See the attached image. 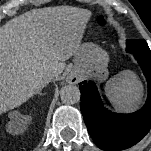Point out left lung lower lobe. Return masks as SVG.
<instances>
[{
    "mask_svg": "<svg viewBox=\"0 0 151 151\" xmlns=\"http://www.w3.org/2000/svg\"><path fill=\"white\" fill-rule=\"evenodd\" d=\"M127 52L139 62L148 82L145 105L131 114H117L107 110L92 81L79 84L80 109L88 132L96 145L105 151H120L138 143L151 128V50L145 40L130 39Z\"/></svg>",
    "mask_w": 151,
    "mask_h": 151,
    "instance_id": "obj_1",
    "label": "left lung lower lobe"
}]
</instances>
